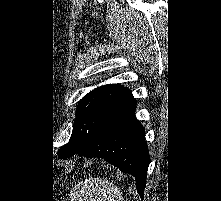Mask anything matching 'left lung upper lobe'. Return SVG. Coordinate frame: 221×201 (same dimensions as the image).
Returning <instances> with one entry per match:
<instances>
[{"mask_svg": "<svg viewBox=\"0 0 221 201\" xmlns=\"http://www.w3.org/2000/svg\"><path fill=\"white\" fill-rule=\"evenodd\" d=\"M131 96L127 88L109 84L90 91L78 103L76 120L68 144L58 151L61 159L78 152L92 137L107 113Z\"/></svg>", "mask_w": 221, "mask_h": 201, "instance_id": "1", "label": "left lung upper lobe"}]
</instances>
